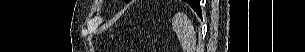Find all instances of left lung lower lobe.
I'll return each mask as SVG.
<instances>
[{"mask_svg": "<svg viewBox=\"0 0 305 52\" xmlns=\"http://www.w3.org/2000/svg\"><path fill=\"white\" fill-rule=\"evenodd\" d=\"M191 7L195 10V12L202 17V12H201V8H200V4H199V0L195 1V5H191Z\"/></svg>", "mask_w": 305, "mask_h": 52, "instance_id": "1", "label": "left lung lower lobe"}]
</instances>
